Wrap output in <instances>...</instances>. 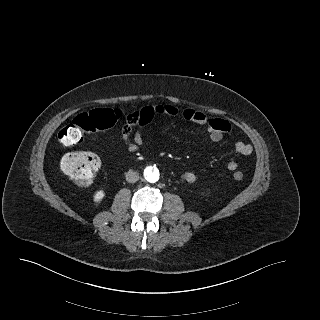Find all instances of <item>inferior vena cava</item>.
<instances>
[{"label":"inferior vena cava","mask_w":320,"mask_h":320,"mask_svg":"<svg viewBox=\"0 0 320 320\" xmlns=\"http://www.w3.org/2000/svg\"><path fill=\"white\" fill-rule=\"evenodd\" d=\"M139 179V175L137 172L133 171V170H129L126 173V181L129 183H135L136 181H138Z\"/></svg>","instance_id":"obj_1"}]
</instances>
